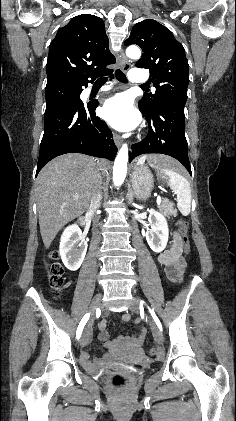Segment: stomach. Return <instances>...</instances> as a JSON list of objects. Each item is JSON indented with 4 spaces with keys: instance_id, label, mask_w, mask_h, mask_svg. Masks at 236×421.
I'll use <instances>...</instances> for the list:
<instances>
[{
    "instance_id": "1",
    "label": "stomach",
    "mask_w": 236,
    "mask_h": 421,
    "mask_svg": "<svg viewBox=\"0 0 236 421\" xmlns=\"http://www.w3.org/2000/svg\"><path fill=\"white\" fill-rule=\"evenodd\" d=\"M157 176L159 180H161L162 184H166L169 180V176L166 174L165 170H158ZM130 182L133 194L136 198L145 200V198L150 196L154 184V178L148 166H145V164H136L131 172Z\"/></svg>"
}]
</instances>
